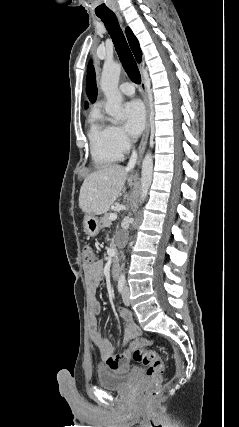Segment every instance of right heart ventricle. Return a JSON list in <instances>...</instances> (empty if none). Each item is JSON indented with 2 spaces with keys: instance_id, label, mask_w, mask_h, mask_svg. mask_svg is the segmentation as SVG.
<instances>
[{
  "instance_id": "right-heart-ventricle-1",
  "label": "right heart ventricle",
  "mask_w": 239,
  "mask_h": 427,
  "mask_svg": "<svg viewBox=\"0 0 239 427\" xmlns=\"http://www.w3.org/2000/svg\"><path fill=\"white\" fill-rule=\"evenodd\" d=\"M88 138L91 157L96 165H109L122 157L111 141L110 125L104 121L97 111L90 115Z\"/></svg>"
}]
</instances>
